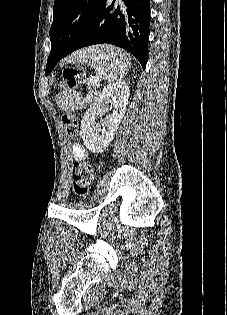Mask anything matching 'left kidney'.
<instances>
[{
    "label": "left kidney",
    "instance_id": "1",
    "mask_svg": "<svg viewBox=\"0 0 227 315\" xmlns=\"http://www.w3.org/2000/svg\"><path fill=\"white\" fill-rule=\"evenodd\" d=\"M129 98V87L125 82L109 84L105 87L93 104L86 111L80 127L83 143L93 153H102L113 139L115 132L124 116ZM113 109L112 114L107 115L102 122L105 128L99 134L101 123H96L98 116Z\"/></svg>",
    "mask_w": 227,
    "mask_h": 315
}]
</instances>
